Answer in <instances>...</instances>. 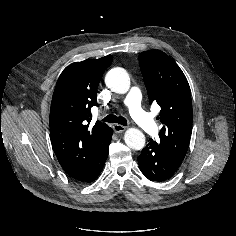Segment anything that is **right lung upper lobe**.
Listing matches in <instances>:
<instances>
[{
	"label": "right lung upper lobe",
	"mask_w": 236,
	"mask_h": 236,
	"mask_svg": "<svg viewBox=\"0 0 236 236\" xmlns=\"http://www.w3.org/2000/svg\"><path fill=\"white\" fill-rule=\"evenodd\" d=\"M108 55L69 65L60 75L50 108V137L56 157L72 178L82 175L104 151L111 128L101 121L89 127L91 107L97 104V87Z\"/></svg>",
	"instance_id": "cb5924a9"
}]
</instances>
